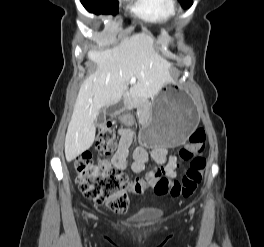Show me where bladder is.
I'll return each mask as SVG.
<instances>
[{"label":"bladder","mask_w":264,"mask_h":247,"mask_svg":"<svg viewBox=\"0 0 264 247\" xmlns=\"http://www.w3.org/2000/svg\"><path fill=\"white\" fill-rule=\"evenodd\" d=\"M162 212L157 208L146 206L141 208L133 218L138 222H152L161 216Z\"/></svg>","instance_id":"31cf9c89"}]
</instances>
